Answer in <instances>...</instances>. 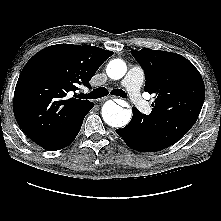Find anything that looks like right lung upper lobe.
Instances as JSON below:
<instances>
[{
	"label": "right lung upper lobe",
	"instance_id": "obj_1",
	"mask_svg": "<svg viewBox=\"0 0 221 221\" xmlns=\"http://www.w3.org/2000/svg\"><path fill=\"white\" fill-rule=\"evenodd\" d=\"M113 52L90 45L57 44L35 54L23 68L13 109L23 132L44 146L69 132L93 108L89 100L70 97L89 81Z\"/></svg>",
	"mask_w": 221,
	"mask_h": 221
}]
</instances>
